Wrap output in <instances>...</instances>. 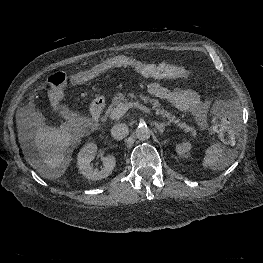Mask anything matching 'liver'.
<instances>
[{
	"label": "liver",
	"mask_w": 263,
	"mask_h": 263,
	"mask_svg": "<svg viewBox=\"0 0 263 263\" xmlns=\"http://www.w3.org/2000/svg\"><path fill=\"white\" fill-rule=\"evenodd\" d=\"M18 136L24 146L27 136L34 139L39 152L40 160L32 163L38 173L47 179L61 177L68 167L70 158V146L78 142L82 133H79L75 124L60 128L44 126L40 123H28L23 119L20 111L16 114Z\"/></svg>",
	"instance_id": "1"
}]
</instances>
